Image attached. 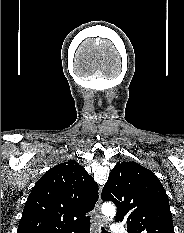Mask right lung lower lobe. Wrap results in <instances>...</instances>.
<instances>
[{"label": "right lung lower lobe", "instance_id": "98d812e1", "mask_svg": "<svg viewBox=\"0 0 184 233\" xmlns=\"http://www.w3.org/2000/svg\"><path fill=\"white\" fill-rule=\"evenodd\" d=\"M90 220H88L87 222L76 226L68 231H66L65 233H90V224H89Z\"/></svg>", "mask_w": 184, "mask_h": 233}]
</instances>
